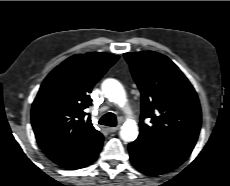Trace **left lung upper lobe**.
I'll return each instance as SVG.
<instances>
[{"instance_id":"5c2ea615","label":"left lung upper lobe","mask_w":230,"mask_h":186,"mask_svg":"<svg viewBox=\"0 0 230 186\" xmlns=\"http://www.w3.org/2000/svg\"><path fill=\"white\" fill-rule=\"evenodd\" d=\"M142 95L139 137L193 150L201 127L197 94L182 71L153 51L125 53ZM150 118V125L145 124Z\"/></svg>"}]
</instances>
